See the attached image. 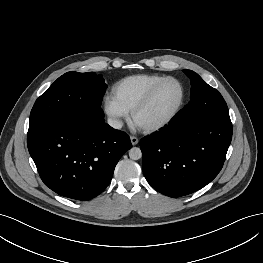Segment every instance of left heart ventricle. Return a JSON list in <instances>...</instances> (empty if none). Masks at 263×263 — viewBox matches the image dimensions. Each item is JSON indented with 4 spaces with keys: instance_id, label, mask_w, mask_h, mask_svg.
I'll return each mask as SVG.
<instances>
[{
    "instance_id": "left-heart-ventricle-1",
    "label": "left heart ventricle",
    "mask_w": 263,
    "mask_h": 263,
    "mask_svg": "<svg viewBox=\"0 0 263 263\" xmlns=\"http://www.w3.org/2000/svg\"><path fill=\"white\" fill-rule=\"evenodd\" d=\"M181 97V86L176 81H166L156 91L150 104L136 116V125L145 126L166 118L176 109Z\"/></svg>"
}]
</instances>
